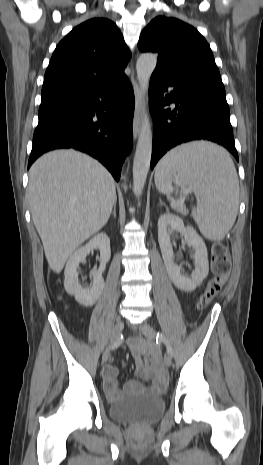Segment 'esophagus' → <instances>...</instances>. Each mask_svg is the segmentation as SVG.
Instances as JSON below:
<instances>
[{"mask_svg": "<svg viewBox=\"0 0 263 465\" xmlns=\"http://www.w3.org/2000/svg\"><path fill=\"white\" fill-rule=\"evenodd\" d=\"M131 80L133 83L134 87V92H135V110H134V118H133V137L136 140L139 130H140V125H141V119H142V113H143V94L142 91L140 90L138 83L135 79L134 72L131 75Z\"/></svg>", "mask_w": 263, "mask_h": 465, "instance_id": "34e87169", "label": "esophagus"}]
</instances>
